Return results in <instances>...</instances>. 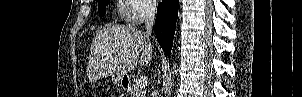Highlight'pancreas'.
Returning a JSON list of instances; mask_svg holds the SVG:
<instances>
[{
  "mask_svg": "<svg viewBox=\"0 0 302 97\" xmlns=\"http://www.w3.org/2000/svg\"><path fill=\"white\" fill-rule=\"evenodd\" d=\"M129 93L131 97H146V92L143 88L137 86V81L133 80L130 86Z\"/></svg>",
  "mask_w": 302,
  "mask_h": 97,
  "instance_id": "pancreas-1",
  "label": "pancreas"
}]
</instances>
